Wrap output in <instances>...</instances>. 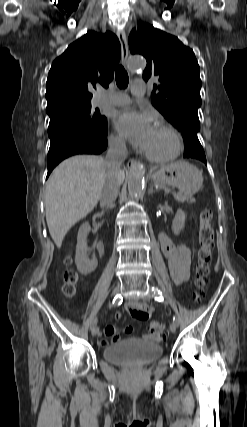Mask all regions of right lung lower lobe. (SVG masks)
Listing matches in <instances>:
<instances>
[{
	"label": "right lung lower lobe",
	"instance_id": "1",
	"mask_svg": "<svg viewBox=\"0 0 247 427\" xmlns=\"http://www.w3.org/2000/svg\"><path fill=\"white\" fill-rule=\"evenodd\" d=\"M106 134V131H96L71 119H50L48 135L51 143L47 157V177L59 162L69 156L102 153L107 148Z\"/></svg>",
	"mask_w": 247,
	"mask_h": 427
}]
</instances>
